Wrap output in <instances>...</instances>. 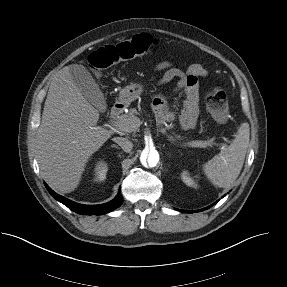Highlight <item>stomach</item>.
I'll return each mask as SVG.
<instances>
[{
    "label": "stomach",
    "instance_id": "obj_1",
    "mask_svg": "<svg viewBox=\"0 0 287 287\" xmlns=\"http://www.w3.org/2000/svg\"><path fill=\"white\" fill-rule=\"evenodd\" d=\"M143 92V86L141 84H131L124 87L119 93V100L125 105H130L132 101L140 96Z\"/></svg>",
    "mask_w": 287,
    "mask_h": 287
}]
</instances>
